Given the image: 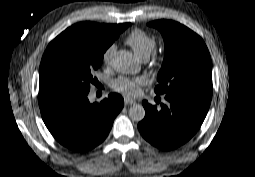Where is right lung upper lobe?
I'll list each match as a JSON object with an SVG mask.
<instances>
[{
  "mask_svg": "<svg viewBox=\"0 0 255 177\" xmlns=\"http://www.w3.org/2000/svg\"><path fill=\"white\" fill-rule=\"evenodd\" d=\"M120 24H98L94 22H81L77 23L70 28H77L84 31L101 34L103 36H112L119 30Z\"/></svg>",
  "mask_w": 255,
  "mask_h": 177,
  "instance_id": "cb5924a9",
  "label": "right lung upper lobe"
}]
</instances>
